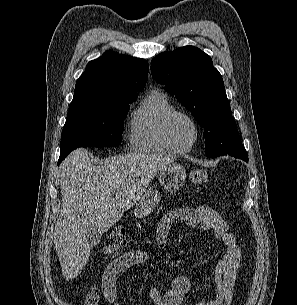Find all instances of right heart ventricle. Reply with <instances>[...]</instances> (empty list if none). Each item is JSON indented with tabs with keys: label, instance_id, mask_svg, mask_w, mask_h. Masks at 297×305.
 <instances>
[{
	"label": "right heart ventricle",
	"instance_id": "right-heart-ventricle-1",
	"mask_svg": "<svg viewBox=\"0 0 297 305\" xmlns=\"http://www.w3.org/2000/svg\"><path fill=\"white\" fill-rule=\"evenodd\" d=\"M170 98L161 91L148 94L133 112L129 135L131 150L142 153H173L162 135L164 118L175 111Z\"/></svg>",
	"mask_w": 297,
	"mask_h": 305
}]
</instances>
